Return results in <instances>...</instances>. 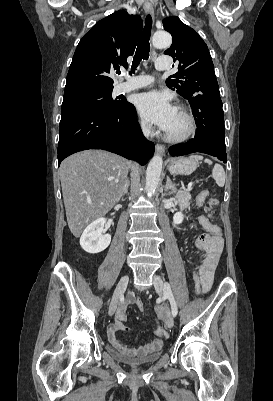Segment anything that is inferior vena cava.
<instances>
[{"label": "inferior vena cava", "instance_id": "602c4592", "mask_svg": "<svg viewBox=\"0 0 273 401\" xmlns=\"http://www.w3.org/2000/svg\"><path fill=\"white\" fill-rule=\"evenodd\" d=\"M142 130H143L145 136H149V134H151V130H149V128H147V126H142Z\"/></svg>", "mask_w": 273, "mask_h": 401}]
</instances>
